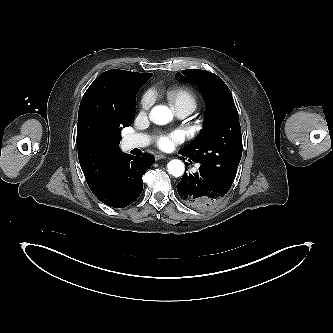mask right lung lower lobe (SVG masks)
Instances as JSON below:
<instances>
[{"label":"right lung lower lobe","instance_id":"1","mask_svg":"<svg viewBox=\"0 0 333 333\" xmlns=\"http://www.w3.org/2000/svg\"><path fill=\"white\" fill-rule=\"evenodd\" d=\"M153 164V157L122 154L105 186L94 195L104 204L123 208L134 202L142 192V176Z\"/></svg>","mask_w":333,"mask_h":333}]
</instances>
